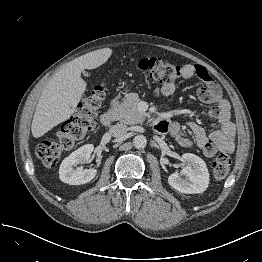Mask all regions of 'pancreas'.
<instances>
[{
  "label": "pancreas",
  "mask_w": 262,
  "mask_h": 262,
  "mask_svg": "<svg viewBox=\"0 0 262 262\" xmlns=\"http://www.w3.org/2000/svg\"><path fill=\"white\" fill-rule=\"evenodd\" d=\"M140 101L137 93L128 94L122 104L114 109L115 118L125 124L142 123L145 117L144 114L138 110Z\"/></svg>",
  "instance_id": "pancreas-1"
}]
</instances>
